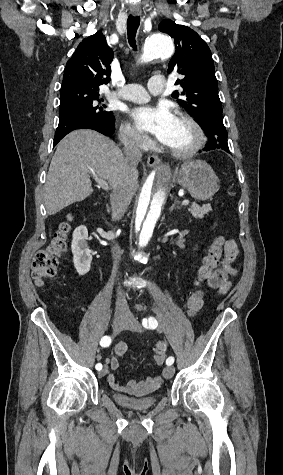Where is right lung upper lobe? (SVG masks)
<instances>
[{
  "label": "right lung upper lobe",
  "mask_w": 283,
  "mask_h": 475,
  "mask_svg": "<svg viewBox=\"0 0 283 475\" xmlns=\"http://www.w3.org/2000/svg\"><path fill=\"white\" fill-rule=\"evenodd\" d=\"M112 58L101 31L83 39L66 64L61 93H98L99 86L109 81Z\"/></svg>",
  "instance_id": "cb5924a9"
}]
</instances>
